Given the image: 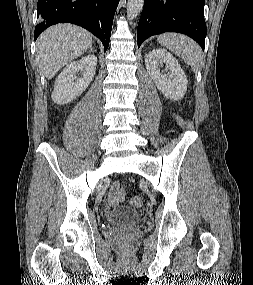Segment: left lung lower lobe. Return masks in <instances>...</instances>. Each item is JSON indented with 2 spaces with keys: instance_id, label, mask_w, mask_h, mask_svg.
Listing matches in <instances>:
<instances>
[{
  "instance_id": "obj_1",
  "label": "left lung lower lobe",
  "mask_w": 253,
  "mask_h": 285,
  "mask_svg": "<svg viewBox=\"0 0 253 285\" xmlns=\"http://www.w3.org/2000/svg\"><path fill=\"white\" fill-rule=\"evenodd\" d=\"M205 0H145L137 28L138 48L144 40L163 32H179L194 39L204 50Z\"/></svg>"
}]
</instances>
